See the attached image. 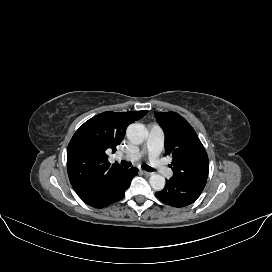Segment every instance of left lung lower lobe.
Instances as JSON below:
<instances>
[{"mask_svg":"<svg viewBox=\"0 0 272 272\" xmlns=\"http://www.w3.org/2000/svg\"><path fill=\"white\" fill-rule=\"evenodd\" d=\"M206 180H166L164 189L156 196L173 207H184L192 204L200 196Z\"/></svg>","mask_w":272,"mask_h":272,"instance_id":"0a47b994","label":"left lung lower lobe"}]
</instances>
